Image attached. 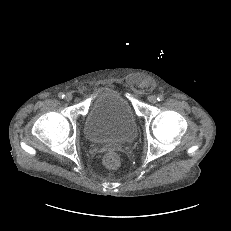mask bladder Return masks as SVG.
<instances>
[{
    "label": "bladder",
    "instance_id": "1",
    "mask_svg": "<svg viewBox=\"0 0 231 231\" xmlns=\"http://www.w3.org/2000/svg\"><path fill=\"white\" fill-rule=\"evenodd\" d=\"M91 144L127 145L138 135V124L127 98L108 90L94 98L83 123Z\"/></svg>",
    "mask_w": 231,
    "mask_h": 231
}]
</instances>
